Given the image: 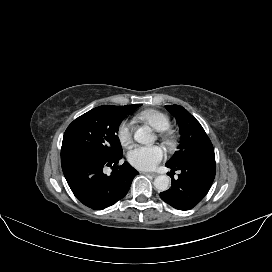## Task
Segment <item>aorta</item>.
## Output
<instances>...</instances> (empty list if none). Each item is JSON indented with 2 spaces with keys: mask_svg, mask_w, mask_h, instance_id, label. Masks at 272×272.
I'll return each mask as SVG.
<instances>
[{
  "mask_svg": "<svg viewBox=\"0 0 272 272\" xmlns=\"http://www.w3.org/2000/svg\"><path fill=\"white\" fill-rule=\"evenodd\" d=\"M134 140L141 144H152L155 136L150 127L142 126L135 131ZM154 186L158 191H166L170 186V178L166 175L157 176L154 179Z\"/></svg>",
  "mask_w": 272,
  "mask_h": 272,
  "instance_id": "1",
  "label": "aorta"
}]
</instances>
